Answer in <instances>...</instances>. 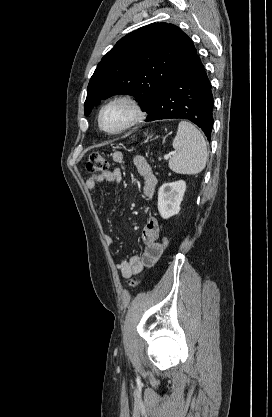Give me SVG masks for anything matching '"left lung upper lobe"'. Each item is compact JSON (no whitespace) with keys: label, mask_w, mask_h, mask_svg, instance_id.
<instances>
[{"label":"left lung upper lobe","mask_w":272,"mask_h":417,"mask_svg":"<svg viewBox=\"0 0 272 417\" xmlns=\"http://www.w3.org/2000/svg\"><path fill=\"white\" fill-rule=\"evenodd\" d=\"M196 54L192 40L177 26L152 23L121 38L92 75L85 115L114 94H130L148 114L179 69Z\"/></svg>","instance_id":"obj_1"}]
</instances>
